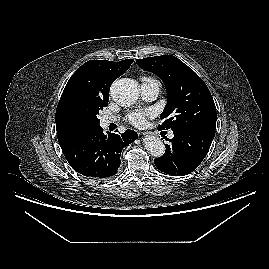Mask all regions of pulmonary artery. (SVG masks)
Segmentation results:
<instances>
[{
  "instance_id": "e3ab8cb5",
  "label": "pulmonary artery",
  "mask_w": 269,
  "mask_h": 269,
  "mask_svg": "<svg viewBox=\"0 0 269 269\" xmlns=\"http://www.w3.org/2000/svg\"><path fill=\"white\" fill-rule=\"evenodd\" d=\"M161 89V84L158 80L152 78H143L141 81V95L146 101L154 100ZM113 119L109 117L103 118V125H108ZM173 132L169 133V137L172 138Z\"/></svg>"
}]
</instances>
